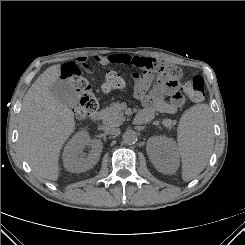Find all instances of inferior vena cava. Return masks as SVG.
Segmentation results:
<instances>
[{
  "mask_svg": "<svg viewBox=\"0 0 245 245\" xmlns=\"http://www.w3.org/2000/svg\"><path fill=\"white\" fill-rule=\"evenodd\" d=\"M105 130L107 133L112 134L114 136H118L120 134V129L118 127L106 126Z\"/></svg>",
  "mask_w": 245,
  "mask_h": 245,
  "instance_id": "1",
  "label": "inferior vena cava"
}]
</instances>
